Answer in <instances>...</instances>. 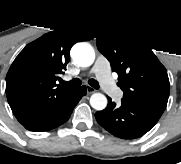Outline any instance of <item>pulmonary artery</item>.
I'll use <instances>...</instances> for the list:
<instances>
[{"label":"pulmonary artery","instance_id":"pulmonary-artery-1","mask_svg":"<svg viewBox=\"0 0 181 164\" xmlns=\"http://www.w3.org/2000/svg\"><path fill=\"white\" fill-rule=\"evenodd\" d=\"M97 77V80L103 90L111 96L121 97V90L118 89L112 79L108 67L100 62H97L91 69Z\"/></svg>","mask_w":181,"mask_h":164}]
</instances>
